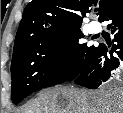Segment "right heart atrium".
Segmentation results:
<instances>
[{"label": "right heart atrium", "mask_w": 123, "mask_h": 113, "mask_svg": "<svg viewBox=\"0 0 123 113\" xmlns=\"http://www.w3.org/2000/svg\"><path fill=\"white\" fill-rule=\"evenodd\" d=\"M53 57L58 65H63L68 60L69 50L65 42H60L54 47Z\"/></svg>", "instance_id": "right-heart-atrium-1"}]
</instances>
